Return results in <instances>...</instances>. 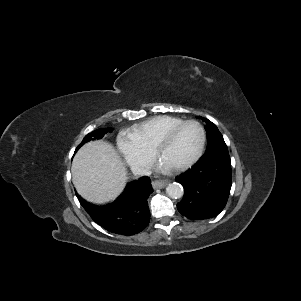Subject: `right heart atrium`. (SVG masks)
I'll return each instance as SVG.
<instances>
[{
	"label": "right heart atrium",
	"instance_id": "obj_1",
	"mask_svg": "<svg viewBox=\"0 0 301 301\" xmlns=\"http://www.w3.org/2000/svg\"><path fill=\"white\" fill-rule=\"evenodd\" d=\"M117 146L126 163L138 172L146 171L153 162L151 151L142 147L129 134L122 133L117 138Z\"/></svg>",
	"mask_w": 301,
	"mask_h": 301
}]
</instances>
